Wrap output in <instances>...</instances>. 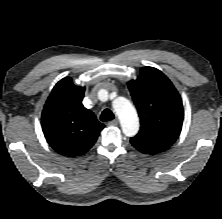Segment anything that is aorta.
<instances>
[{
  "label": "aorta",
  "instance_id": "obj_1",
  "mask_svg": "<svg viewBox=\"0 0 222 219\" xmlns=\"http://www.w3.org/2000/svg\"><path fill=\"white\" fill-rule=\"evenodd\" d=\"M113 109L120 120L122 132L128 137L135 136L139 130V118L131 102L125 97H117L113 101Z\"/></svg>",
  "mask_w": 222,
  "mask_h": 219
}]
</instances>
